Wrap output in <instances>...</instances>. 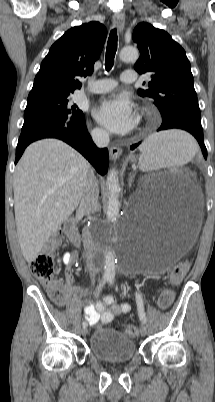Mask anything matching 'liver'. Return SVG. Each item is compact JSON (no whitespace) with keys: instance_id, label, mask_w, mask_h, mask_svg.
<instances>
[{"instance_id":"liver-1","label":"liver","mask_w":215,"mask_h":402,"mask_svg":"<svg viewBox=\"0 0 215 402\" xmlns=\"http://www.w3.org/2000/svg\"><path fill=\"white\" fill-rule=\"evenodd\" d=\"M91 171L90 163L60 140L43 139L26 148L13 189L17 236L27 262L77 208Z\"/></svg>"}]
</instances>
